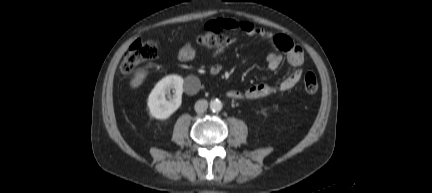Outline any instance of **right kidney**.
Instances as JSON below:
<instances>
[{"instance_id":"1","label":"right kidney","mask_w":432,"mask_h":193,"mask_svg":"<svg viewBox=\"0 0 432 193\" xmlns=\"http://www.w3.org/2000/svg\"><path fill=\"white\" fill-rule=\"evenodd\" d=\"M183 83L181 76L168 75L156 84L147 102L154 118L165 120L178 110L182 103ZM170 89H175V93L173 99L168 101L165 96Z\"/></svg>"}]
</instances>
